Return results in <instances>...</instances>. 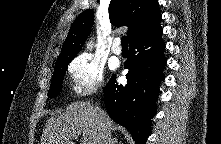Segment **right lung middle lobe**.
Returning <instances> with one entry per match:
<instances>
[{
    "label": "right lung middle lobe",
    "mask_w": 221,
    "mask_h": 144,
    "mask_svg": "<svg viewBox=\"0 0 221 144\" xmlns=\"http://www.w3.org/2000/svg\"><path fill=\"white\" fill-rule=\"evenodd\" d=\"M68 64L69 63H65V64H60V65L55 66L54 73L52 76V81H51V87L48 93L49 98H53L59 94L64 75L68 68Z\"/></svg>",
    "instance_id": "right-lung-middle-lobe-1"
}]
</instances>
